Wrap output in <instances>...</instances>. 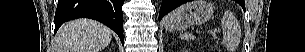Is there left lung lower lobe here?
I'll use <instances>...</instances> for the list:
<instances>
[{"mask_svg":"<svg viewBox=\"0 0 305 52\" xmlns=\"http://www.w3.org/2000/svg\"><path fill=\"white\" fill-rule=\"evenodd\" d=\"M185 2H188V0H163L160 8L159 20H161L165 14Z\"/></svg>","mask_w":305,"mask_h":52,"instance_id":"0a47b994","label":"left lung lower lobe"}]
</instances>
